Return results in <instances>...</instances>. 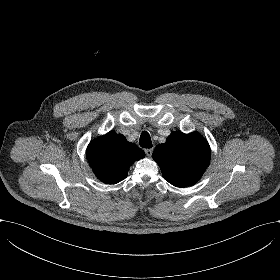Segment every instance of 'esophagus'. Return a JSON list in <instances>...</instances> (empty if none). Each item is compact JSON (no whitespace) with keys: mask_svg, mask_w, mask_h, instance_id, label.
<instances>
[{"mask_svg":"<svg viewBox=\"0 0 280 280\" xmlns=\"http://www.w3.org/2000/svg\"><path fill=\"white\" fill-rule=\"evenodd\" d=\"M152 152H153V149H151V148L145 149V153L149 158L152 156Z\"/></svg>","mask_w":280,"mask_h":280,"instance_id":"esophagus-1","label":"esophagus"}]
</instances>
